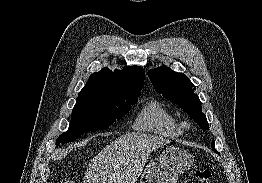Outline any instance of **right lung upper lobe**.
<instances>
[{
    "label": "right lung upper lobe",
    "mask_w": 262,
    "mask_h": 183,
    "mask_svg": "<svg viewBox=\"0 0 262 183\" xmlns=\"http://www.w3.org/2000/svg\"><path fill=\"white\" fill-rule=\"evenodd\" d=\"M145 72L140 66H131L122 70L103 68L93 73L78 97L103 100L138 99L144 82Z\"/></svg>",
    "instance_id": "1"
}]
</instances>
